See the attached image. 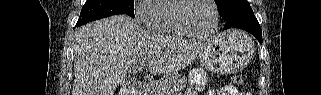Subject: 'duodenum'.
Instances as JSON below:
<instances>
[{
	"label": "duodenum",
	"mask_w": 321,
	"mask_h": 95,
	"mask_svg": "<svg viewBox=\"0 0 321 95\" xmlns=\"http://www.w3.org/2000/svg\"><path fill=\"white\" fill-rule=\"evenodd\" d=\"M120 95H132L131 93L127 92L126 90L122 91Z\"/></svg>",
	"instance_id": "obj_1"
}]
</instances>
